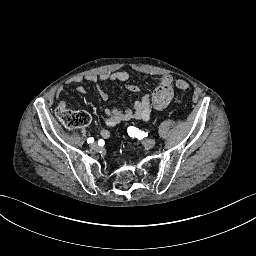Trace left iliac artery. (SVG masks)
Returning a JSON list of instances; mask_svg holds the SVG:
<instances>
[{"label":"left iliac artery","mask_w":256,"mask_h":256,"mask_svg":"<svg viewBox=\"0 0 256 256\" xmlns=\"http://www.w3.org/2000/svg\"><path fill=\"white\" fill-rule=\"evenodd\" d=\"M127 132L129 134V136L136 137L138 139H142L143 137L148 135V133H144V131L141 132V130H139L138 128H136L134 126L128 127Z\"/></svg>","instance_id":"44dca946"}]
</instances>
